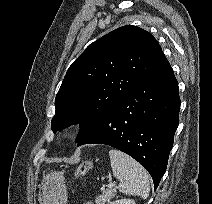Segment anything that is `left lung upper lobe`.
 <instances>
[{
  "instance_id": "obj_1",
  "label": "left lung upper lobe",
  "mask_w": 212,
  "mask_h": 204,
  "mask_svg": "<svg viewBox=\"0 0 212 204\" xmlns=\"http://www.w3.org/2000/svg\"><path fill=\"white\" fill-rule=\"evenodd\" d=\"M165 59L156 39L136 26L120 27L93 42L69 67L56 95L53 132L79 124V143Z\"/></svg>"
}]
</instances>
